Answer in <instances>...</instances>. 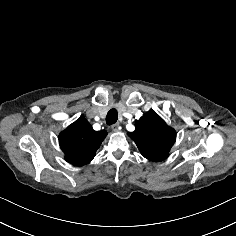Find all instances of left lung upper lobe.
<instances>
[{"mask_svg": "<svg viewBox=\"0 0 236 236\" xmlns=\"http://www.w3.org/2000/svg\"><path fill=\"white\" fill-rule=\"evenodd\" d=\"M135 131L128 136L135 141L141 154L151 161H162L176 139V132L153 110L146 112L135 123Z\"/></svg>", "mask_w": 236, "mask_h": 236, "instance_id": "left-lung-upper-lobe-1", "label": "left lung upper lobe"}]
</instances>
